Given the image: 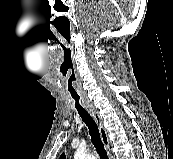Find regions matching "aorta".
Returning <instances> with one entry per match:
<instances>
[{"mask_svg":"<svg viewBox=\"0 0 173 159\" xmlns=\"http://www.w3.org/2000/svg\"><path fill=\"white\" fill-rule=\"evenodd\" d=\"M74 159H96V157L78 150L74 155Z\"/></svg>","mask_w":173,"mask_h":159,"instance_id":"1","label":"aorta"}]
</instances>
